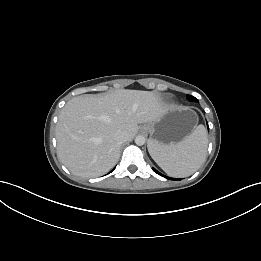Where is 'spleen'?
<instances>
[{
  "mask_svg": "<svg viewBox=\"0 0 261 261\" xmlns=\"http://www.w3.org/2000/svg\"><path fill=\"white\" fill-rule=\"evenodd\" d=\"M207 133L203 125L178 143L166 146L149 141L148 151L153 160L172 177H186L194 173L205 159Z\"/></svg>",
  "mask_w": 261,
  "mask_h": 261,
  "instance_id": "3e777b00",
  "label": "spleen"
}]
</instances>
